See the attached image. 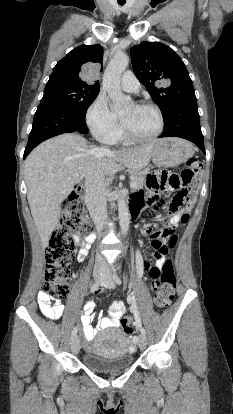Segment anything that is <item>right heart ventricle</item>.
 I'll return each instance as SVG.
<instances>
[{
	"instance_id": "right-heart-ventricle-1",
	"label": "right heart ventricle",
	"mask_w": 233,
	"mask_h": 414,
	"mask_svg": "<svg viewBox=\"0 0 233 414\" xmlns=\"http://www.w3.org/2000/svg\"><path fill=\"white\" fill-rule=\"evenodd\" d=\"M131 140H129L121 131V129L118 127V130L115 134V138L112 143H123V144H129Z\"/></svg>"
}]
</instances>
